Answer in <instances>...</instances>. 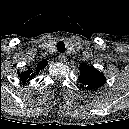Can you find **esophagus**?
Segmentation results:
<instances>
[{"instance_id": "obj_1", "label": "esophagus", "mask_w": 129, "mask_h": 129, "mask_svg": "<svg viewBox=\"0 0 129 129\" xmlns=\"http://www.w3.org/2000/svg\"><path fill=\"white\" fill-rule=\"evenodd\" d=\"M58 59H59V61H61V62H65V61H66V56H65L64 54H59V55H58Z\"/></svg>"}]
</instances>
